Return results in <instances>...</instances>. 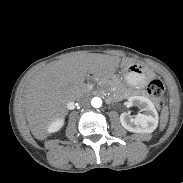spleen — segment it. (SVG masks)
I'll return each mask as SVG.
<instances>
[{
  "label": "spleen",
  "mask_w": 183,
  "mask_h": 183,
  "mask_svg": "<svg viewBox=\"0 0 183 183\" xmlns=\"http://www.w3.org/2000/svg\"><path fill=\"white\" fill-rule=\"evenodd\" d=\"M167 122H168V108L165 107L163 108L161 113V125H160L161 131L164 130V128L166 127Z\"/></svg>",
  "instance_id": "spleen-1"
}]
</instances>
